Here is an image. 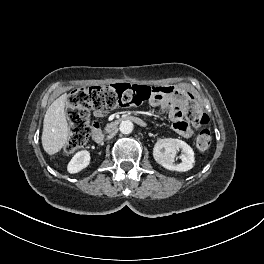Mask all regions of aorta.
<instances>
[{"label": "aorta", "instance_id": "762f6f07", "mask_svg": "<svg viewBox=\"0 0 264 264\" xmlns=\"http://www.w3.org/2000/svg\"><path fill=\"white\" fill-rule=\"evenodd\" d=\"M133 123L129 120L122 121L120 123V132L123 134H130L133 131Z\"/></svg>", "mask_w": 264, "mask_h": 264}]
</instances>
